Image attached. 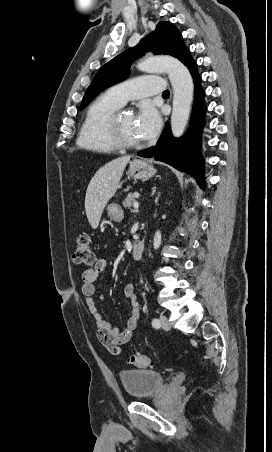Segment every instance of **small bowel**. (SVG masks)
<instances>
[{
  "label": "small bowel",
  "mask_w": 272,
  "mask_h": 452,
  "mask_svg": "<svg viewBox=\"0 0 272 452\" xmlns=\"http://www.w3.org/2000/svg\"><path fill=\"white\" fill-rule=\"evenodd\" d=\"M108 261L96 259L94 263L82 272V294L86 298V305L97 328V338L112 353H119L120 346L126 344L138 326L140 307L137 301L135 285L128 283L124 287V298L130 309V317L123 330H119L111 323L103 320L96 307V299H103V295H96V279L107 269ZM117 349L118 351H115Z\"/></svg>",
  "instance_id": "obj_1"
}]
</instances>
